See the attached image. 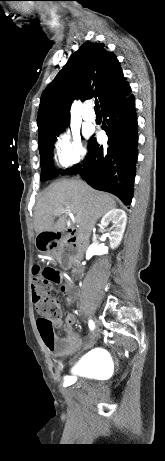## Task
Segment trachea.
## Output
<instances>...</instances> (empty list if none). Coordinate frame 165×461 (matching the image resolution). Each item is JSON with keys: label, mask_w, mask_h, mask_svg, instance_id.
<instances>
[{"label": "trachea", "mask_w": 165, "mask_h": 461, "mask_svg": "<svg viewBox=\"0 0 165 461\" xmlns=\"http://www.w3.org/2000/svg\"><path fill=\"white\" fill-rule=\"evenodd\" d=\"M95 111L96 112H99V104H98V100H95Z\"/></svg>", "instance_id": "1"}]
</instances>
